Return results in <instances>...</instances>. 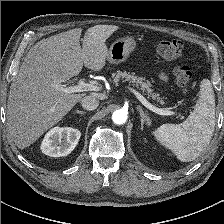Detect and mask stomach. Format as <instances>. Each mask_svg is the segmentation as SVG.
Segmentation results:
<instances>
[{
	"mask_svg": "<svg viewBox=\"0 0 224 224\" xmlns=\"http://www.w3.org/2000/svg\"><path fill=\"white\" fill-rule=\"evenodd\" d=\"M136 49V41L130 37H123L116 40L108 51L107 60L111 64L124 62L129 54Z\"/></svg>",
	"mask_w": 224,
	"mask_h": 224,
	"instance_id": "1",
	"label": "stomach"
}]
</instances>
